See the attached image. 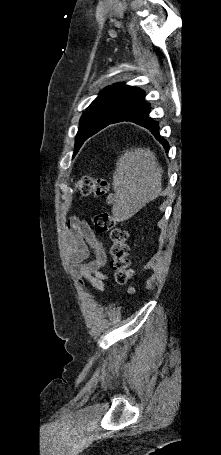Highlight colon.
<instances>
[{"label": "colon", "instance_id": "5ec220e1", "mask_svg": "<svg viewBox=\"0 0 221 455\" xmlns=\"http://www.w3.org/2000/svg\"><path fill=\"white\" fill-rule=\"evenodd\" d=\"M75 190L83 196H94L113 201V194L109 182L102 177L82 176L75 180ZM94 227L98 233L110 232V265L115 273V279L120 284L128 283L133 277V271L129 267L127 244L128 234L120 228L115 227L112 215L108 212H100L94 216Z\"/></svg>", "mask_w": 221, "mask_h": 455}]
</instances>
